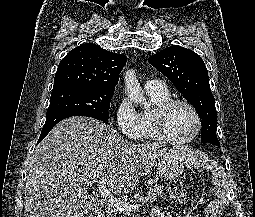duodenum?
<instances>
[{"label": "duodenum", "instance_id": "duodenum-1", "mask_svg": "<svg viewBox=\"0 0 255 217\" xmlns=\"http://www.w3.org/2000/svg\"><path fill=\"white\" fill-rule=\"evenodd\" d=\"M90 217H104V213L103 211H96L92 213Z\"/></svg>", "mask_w": 255, "mask_h": 217}]
</instances>
